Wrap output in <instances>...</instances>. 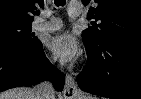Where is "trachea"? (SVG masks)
<instances>
[{
    "mask_svg": "<svg viewBox=\"0 0 141 99\" xmlns=\"http://www.w3.org/2000/svg\"><path fill=\"white\" fill-rule=\"evenodd\" d=\"M56 6H63L65 4V0H55Z\"/></svg>",
    "mask_w": 141,
    "mask_h": 99,
    "instance_id": "1",
    "label": "trachea"
}]
</instances>
